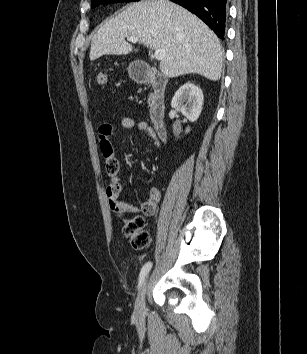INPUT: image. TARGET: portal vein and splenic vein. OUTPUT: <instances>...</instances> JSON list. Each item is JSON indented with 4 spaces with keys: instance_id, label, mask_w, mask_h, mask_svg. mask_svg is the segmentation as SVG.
I'll use <instances>...</instances> for the list:
<instances>
[{
    "instance_id": "1",
    "label": "portal vein and splenic vein",
    "mask_w": 307,
    "mask_h": 354,
    "mask_svg": "<svg viewBox=\"0 0 307 354\" xmlns=\"http://www.w3.org/2000/svg\"><path fill=\"white\" fill-rule=\"evenodd\" d=\"M127 40L129 41V42H132V43H136V42H138V38L137 37H135V36H129V37H127ZM165 57V50L164 49H157V50H155V52H154V58L156 59V60H162L163 58Z\"/></svg>"
}]
</instances>
